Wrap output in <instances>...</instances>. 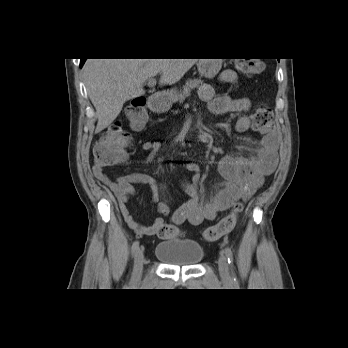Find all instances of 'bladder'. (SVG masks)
I'll use <instances>...</instances> for the list:
<instances>
[{
  "instance_id": "bladder-1",
  "label": "bladder",
  "mask_w": 348,
  "mask_h": 348,
  "mask_svg": "<svg viewBox=\"0 0 348 348\" xmlns=\"http://www.w3.org/2000/svg\"><path fill=\"white\" fill-rule=\"evenodd\" d=\"M154 256L168 266H195L203 259L204 249L195 241L171 240L157 244Z\"/></svg>"
}]
</instances>
